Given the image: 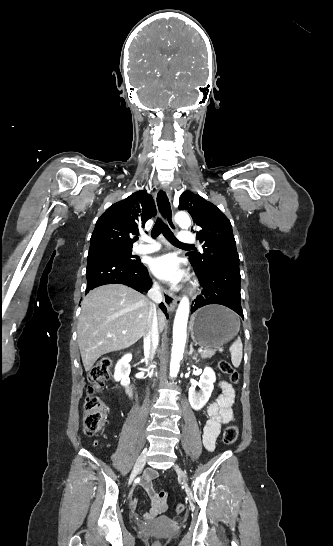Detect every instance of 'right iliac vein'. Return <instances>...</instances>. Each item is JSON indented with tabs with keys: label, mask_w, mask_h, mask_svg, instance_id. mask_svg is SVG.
<instances>
[{
	"label": "right iliac vein",
	"mask_w": 333,
	"mask_h": 546,
	"mask_svg": "<svg viewBox=\"0 0 333 546\" xmlns=\"http://www.w3.org/2000/svg\"><path fill=\"white\" fill-rule=\"evenodd\" d=\"M146 453L147 451L144 450L140 456L138 457L135 465H134V468H133V475H137L138 472L144 467L145 465V461H146Z\"/></svg>",
	"instance_id": "63e3f726"
}]
</instances>
